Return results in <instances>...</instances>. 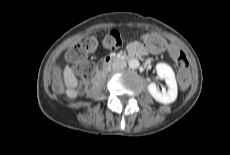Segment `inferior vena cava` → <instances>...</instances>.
<instances>
[{
	"instance_id": "obj_1",
	"label": "inferior vena cava",
	"mask_w": 230,
	"mask_h": 155,
	"mask_svg": "<svg viewBox=\"0 0 230 155\" xmlns=\"http://www.w3.org/2000/svg\"><path fill=\"white\" fill-rule=\"evenodd\" d=\"M126 67V62L124 60H118L116 63L113 64L112 68L114 70L123 69Z\"/></svg>"
}]
</instances>
